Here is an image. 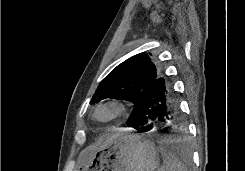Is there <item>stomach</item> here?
Segmentation results:
<instances>
[{
    "label": "stomach",
    "instance_id": "obj_1",
    "mask_svg": "<svg viewBox=\"0 0 245 171\" xmlns=\"http://www.w3.org/2000/svg\"><path fill=\"white\" fill-rule=\"evenodd\" d=\"M155 145L138 134L118 132L109 144L91 152L78 171H156Z\"/></svg>",
    "mask_w": 245,
    "mask_h": 171
}]
</instances>
